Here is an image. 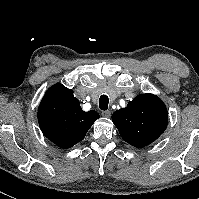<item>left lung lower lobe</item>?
<instances>
[{"label":"left lung lower lobe","mask_w":199,"mask_h":199,"mask_svg":"<svg viewBox=\"0 0 199 199\" xmlns=\"http://www.w3.org/2000/svg\"><path fill=\"white\" fill-rule=\"evenodd\" d=\"M127 143H129L132 146H135L137 148H142L144 146H146V144H143L141 142H136V141H130V140H125Z\"/></svg>","instance_id":"obj_1"}]
</instances>
